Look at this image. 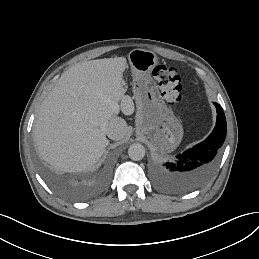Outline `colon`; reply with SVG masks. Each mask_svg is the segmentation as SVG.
<instances>
[{
    "label": "colon",
    "instance_id": "colon-1",
    "mask_svg": "<svg viewBox=\"0 0 259 259\" xmlns=\"http://www.w3.org/2000/svg\"><path fill=\"white\" fill-rule=\"evenodd\" d=\"M161 95L171 107L178 106L182 101L181 79L174 67L157 65L153 70Z\"/></svg>",
    "mask_w": 259,
    "mask_h": 259
}]
</instances>
